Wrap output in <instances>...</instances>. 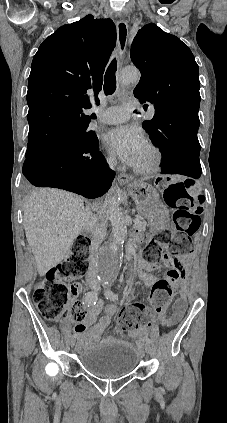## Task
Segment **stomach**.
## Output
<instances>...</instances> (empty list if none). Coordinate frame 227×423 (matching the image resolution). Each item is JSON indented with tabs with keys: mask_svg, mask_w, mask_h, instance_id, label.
<instances>
[{
	"mask_svg": "<svg viewBox=\"0 0 227 423\" xmlns=\"http://www.w3.org/2000/svg\"><path fill=\"white\" fill-rule=\"evenodd\" d=\"M124 184H128V180H121ZM131 198L135 200L136 208L142 215H148L149 211L155 206L159 200V194L151 184H146L144 180L129 184L127 188Z\"/></svg>",
	"mask_w": 227,
	"mask_h": 423,
	"instance_id": "obj_1",
	"label": "stomach"
}]
</instances>
